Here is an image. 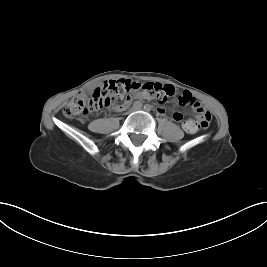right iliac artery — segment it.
Here are the masks:
<instances>
[{"label": "right iliac artery", "instance_id": "82829eb1", "mask_svg": "<svg viewBox=\"0 0 267 267\" xmlns=\"http://www.w3.org/2000/svg\"><path fill=\"white\" fill-rule=\"evenodd\" d=\"M133 107L135 109H140L142 107V103L140 101H136L134 102Z\"/></svg>", "mask_w": 267, "mask_h": 267}]
</instances>
